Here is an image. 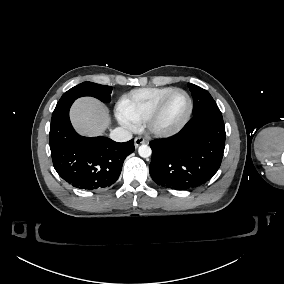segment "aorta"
Returning a JSON list of instances; mask_svg holds the SVG:
<instances>
[{"instance_id": "1", "label": "aorta", "mask_w": 284, "mask_h": 284, "mask_svg": "<svg viewBox=\"0 0 284 284\" xmlns=\"http://www.w3.org/2000/svg\"><path fill=\"white\" fill-rule=\"evenodd\" d=\"M138 153L142 158H147L151 156L152 150L148 145L143 144L138 148Z\"/></svg>"}]
</instances>
